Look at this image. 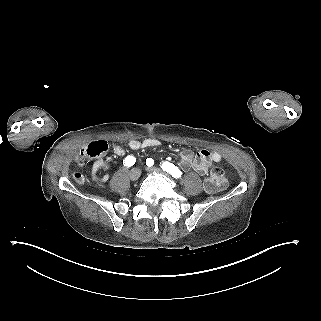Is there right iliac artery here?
<instances>
[{
    "label": "right iliac artery",
    "mask_w": 321,
    "mask_h": 321,
    "mask_svg": "<svg viewBox=\"0 0 321 321\" xmlns=\"http://www.w3.org/2000/svg\"><path fill=\"white\" fill-rule=\"evenodd\" d=\"M136 159L133 156H127L124 160V166L131 167L135 164Z\"/></svg>",
    "instance_id": "right-iliac-artery-1"
}]
</instances>
